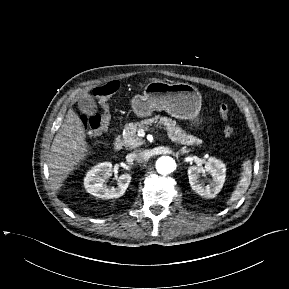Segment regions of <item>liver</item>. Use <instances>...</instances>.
Returning <instances> with one entry per match:
<instances>
[{"label": "liver", "mask_w": 289, "mask_h": 289, "mask_svg": "<svg viewBox=\"0 0 289 289\" xmlns=\"http://www.w3.org/2000/svg\"><path fill=\"white\" fill-rule=\"evenodd\" d=\"M152 81L160 80L153 79ZM88 96L85 95L83 98ZM85 138L82 120L73 109H69L50 149L48 167L53 190L60 189L75 166L87 156L88 145Z\"/></svg>", "instance_id": "obj_1"}]
</instances>
